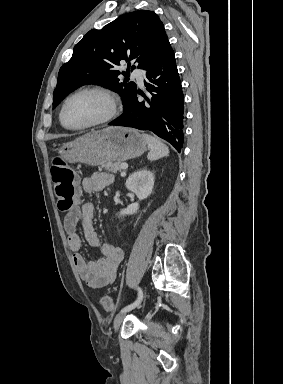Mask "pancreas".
I'll use <instances>...</instances> for the list:
<instances>
[{
    "instance_id": "cf45deb5",
    "label": "pancreas",
    "mask_w": 283,
    "mask_h": 384,
    "mask_svg": "<svg viewBox=\"0 0 283 384\" xmlns=\"http://www.w3.org/2000/svg\"><path fill=\"white\" fill-rule=\"evenodd\" d=\"M121 164L122 162H108V164H102V168L107 170V172H112V174H117V172H121Z\"/></svg>"
}]
</instances>
